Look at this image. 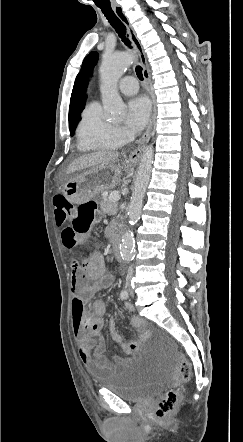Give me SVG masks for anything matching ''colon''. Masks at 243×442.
<instances>
[{
  "label": "colon",
  "instance_id": "1",
  "mask_svg": "<svg viewBox=\"0 0 243 442\" xmlns=\"http://www.w3.org/2000/svg\"><path fill=\"white\" fill-rule=\"evenodd\" d=\"M53 205L56 225L64 226L61 233L62 243L68 249L77 247L85 239L93 223L97 222L99 226H102L104 222L115 218L114 215L108 213L99 215L96 203L91 200L74 207L64 195L58 194L53 197ZM178 360L181 378L183 381H188L191 377V364L181 353L178 354ZM179 400L178 389L168 390L157 404V417L160 419L170 417L176 411Z\"/></svg>",
  "mask_w": 243,
  "mask_h": 442
}]
</instances>
